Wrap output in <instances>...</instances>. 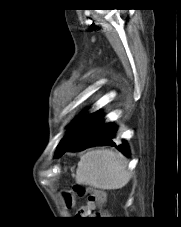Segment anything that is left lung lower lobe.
Instances as JSON below:
<instances>
[{
  "label": "left lung lower lobe",
  "mask_w": 181,
  "mask_h": 227,
  "mask_svg": "<svg viewBox=\"0 0 181 227\" xmlns=\"http://www.w3.org/2000/svg\"><path fill=\"white\" fill-rule=\"evenodd\" d=\"M117 128L110 124L104 123L102 117L93 115L80 135L70 144H68L57 157H60L64 152L84 150L93 146L109 145L120 150L124 155L129 156V148L125 141L121 145H117L113 140L115 138Z\"/></svg>",
  "instance_id": "obj_1"
}]
</instances>
